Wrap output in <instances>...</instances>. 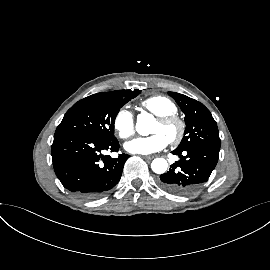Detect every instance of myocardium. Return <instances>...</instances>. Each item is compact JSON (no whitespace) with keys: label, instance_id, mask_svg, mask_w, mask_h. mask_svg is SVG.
Masks as SVG:
<instances>
[{"label":"myocardium","instance_id":"myocardium-1","mask_svg":"<svg viewBox=\"0 0 270 270\" xmlns=\"http://www.w3.org/2000/svg\"><path fill=\"white\" fill-rule=\"evenodd\" d=\"M157 122L165 126L176 125L178 127L177 134L169 141L171 145L176 146L183 140L186 133V124L177 114L160 116L158 117Z\"/></svg>","mask_w":270,"mask_h":270}]
</instances>
